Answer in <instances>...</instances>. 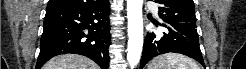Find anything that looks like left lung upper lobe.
I'll return each mask as SVG.
<instances>
[{
    "mask_svg": "<svg viewBox=\"0 0 246 69\" xmlns=\"http://www.w3.org/2000/svg\"><path fill=\"white\" fill-rule=\"evenodd\" d=\"M155 2L160 4L159 16L162 20L196 28L193 0H155Z\"/></svg>",
    "mask_w": 246,
    "mask_h": 69,
    "instance_id": "left-lung-upper-lobe-1",
    "label": "left lung upper lobe"
}]
</instances>
